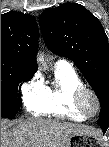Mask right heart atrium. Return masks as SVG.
Returning <instances> with one entry per match:
<instances>
[{"mask_svg":"<svg viewBox=\"0 0 109 147\" xmlns=\"http://www.w3.org/2000/svg\"><path fill=\"white\" fill-rule=\"evenodd\" d=\"M25 103L38 101L44 95L42 84L39 81L25 83L21 88Z\"/></svg>","mask_w":109,"mask_h":147,"instance_id":"right-heart-atrium-1","label":"right heart atrium"}]
</instances>
